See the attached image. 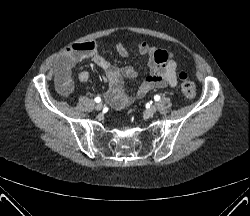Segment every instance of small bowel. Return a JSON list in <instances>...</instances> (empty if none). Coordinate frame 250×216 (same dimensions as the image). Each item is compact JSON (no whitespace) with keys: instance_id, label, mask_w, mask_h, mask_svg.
<instances>
[{"instance_id":"1","label":"small bowel","mask_w":250,"mask_h":216,"mask_svg":"<svg viewBox=\"0 0 250 216\" xmlns=\"http://www.w3.org/2000/svg\"><path fill=\"white\" fill-rule=\"evenodd\" d=\"M138 50L147 57L149 74L136 90L134 97L124 92L123 79H135L137 71L133 67L121 69L114 67L97 52L96 44L92 41L75 44L59 57L56 63V86L62 95L71 94L74 84L70 77V69L76 62L86 58H91L105 72L109 85L106 98L116 109H124L134 98H142L155 88L178 86L177 63L170 52L152 47L144 41L138 44ZM116 51L122 57L128 54L125 46L120 43L116 45ZM78 79L81 83H86L89 80V73L81 71Z\"/></svg>"}]
</instances>
